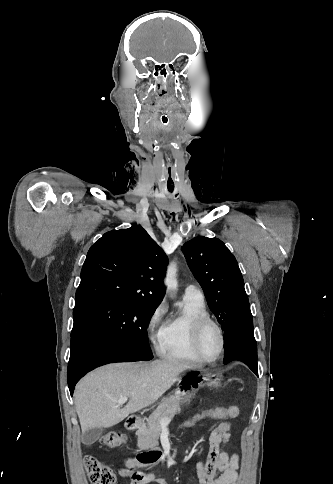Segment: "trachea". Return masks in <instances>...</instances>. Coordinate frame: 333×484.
Wrapping results in <instances>:
<instances>
[{
    "label": "trachea",
    "instance_id": "1",
    "mask_svg": "<svg viewBox=\"0 0 333 484\" xmlns=\"http://www.w3.org/2000/svg\"><path fill=\"white\" fill-rule=\"evenodd\" d=\"M162 121H163L164 123H167L168 119H167L165 116H163V117H162Z\"/></svg>",
    "mask_w": 333,
    "mask_h": 484
}]
</instances>
